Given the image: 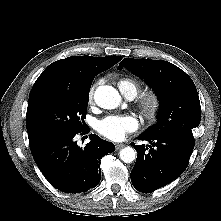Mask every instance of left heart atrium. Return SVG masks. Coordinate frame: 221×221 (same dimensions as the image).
Here are the masks:
<instances>
[{"mask_svg":"<svg viewBox=\"0 0 221 221\" xmlns=\"http://www.w3.org/2000/svg\"><path fill=\"white\" fill-rule=\"evenodd\" d=\"M139 124L133 115H110L97 123V131L107 139L120 141L137 130Z\"/></svg>","mask_w":221,"mask_h":221,"instance_id":"obj_1","label":"left heart atrium"}]
</instances>
